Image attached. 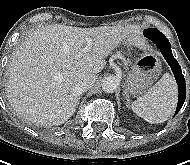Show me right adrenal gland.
Segmentation results:
<instances>
[{
	"instance_id": "right-adrenal-gland-1",
	"label": "right adrenal gland",
	"mask_w": 190,
	"mask_h": 165,
	"mask_svg": "<svg viewBox=\"0 0 190 165\" xmlns=\"http://www.w3.org/2000/svg\"><path fill=\"white\" fill-rule=\"evenodd\" d=\"M80 96H81V95H79V97H78V104H79Z\"/></svg>"
}]
</instances>
